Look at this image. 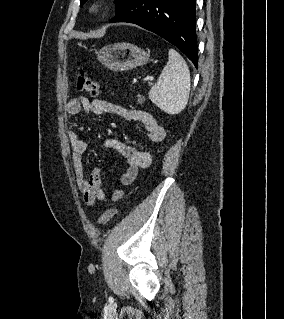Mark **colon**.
<instances>
[{
    "mask_svg": "<svg viewBox=\"0 0 284 319\" xmlns=\"http://www.w3.org/2000/svg\"><path fill=\"white\" fill-rule=\"evenodd\" d=\"M78 88L90 97H97L100 94L99 84L90 78L82 69L79 70L77 82ZM117 213V208L113 207L105 211L97 220L102 225L107 223Z\"/></svg>",
    "mask_w": 284,
    "mask_h": 319,
    "instance_id": "colon-1",
    "label": "colon"
}]
</instances>
